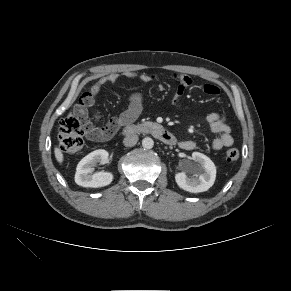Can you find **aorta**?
Wrapping results in <instances>:
<instances>
[{
  "label": "aorta",
  "mask_w": 291,
  "mask_h": 291,
  "mask_svg": "<svg viewBox=\"0 0 291 291\" xmlns=\"http://www.w3.org/2000/svg\"><path fill=\"white\" fill-rule=\"evenodd\" d=\"M142 146L146 149H151L153 148L154 146V141L152 138L150 137H145L143 140H142Z\"/></svg>",
  "instance_id": "1"
}]
</instances>
